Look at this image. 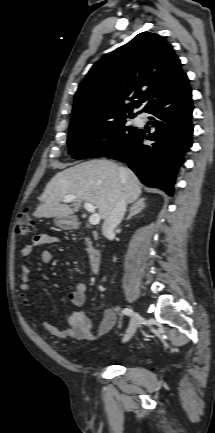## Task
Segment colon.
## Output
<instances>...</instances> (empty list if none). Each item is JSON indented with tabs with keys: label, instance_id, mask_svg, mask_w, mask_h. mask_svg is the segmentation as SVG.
<instances>
[{
	"label": "colon",
	"instance_id": "5ec220e1",
	"mask_svg": "<svg viewBox=\"0 0 215 433\" xmlns=\"http://www.w3.org/2000/svg\"><path fill=\"white\" fill-rule=\"evenodd\" d=\"M34 226V220L28 211H24L17 216L15 230L19 237L30 236L34 231Z\"/></svg>",
	"mask_w": 215,
	"mask_h": 433
}]
</instances>
